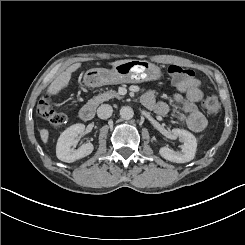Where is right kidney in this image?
<instances>
[{
  "mask_svg": "<svg viewBox=\"0 0 245 245\" xmlns=\"http://www.w3.org/2000/svg\"><path fill=\"white\" fill-rule=\"evenodd\" d=\"M84 130L85 125L78 123L62 132L56 145V156L59 160L71 163L92 153L94 148L92 143L83 144L78 149L71 148L77 145L78 135Z\"/></svg>",
  "mask_w": 245,
  "mask_h": 245,
  "instance_id": "1",
  "label": "right kidney"
}]
</instances>
